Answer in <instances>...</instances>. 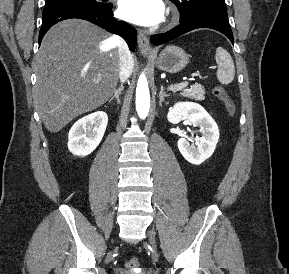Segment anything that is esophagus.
I'll return each instance as SVG.
<instances>
[{
	"label": "esophagus",
	"mask_w": 289,
	"mask_h": 274,
	"mask_svg": "<svg viewBox=\"0 0 289 274\" xmlns=\"http://www.w3.org/2000/svg\"><path fill=\"white\" fill-rule=\"evenodd\" d=\"M138 47L144 55H149L151 53L149 38L143 31H138Z\"/></svg>",
	"instance_id": "obj_1"
}]
</instances>
